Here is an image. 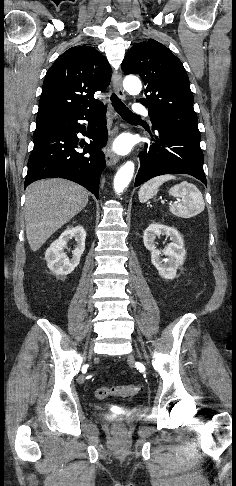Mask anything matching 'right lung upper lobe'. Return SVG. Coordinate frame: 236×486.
Masks as SVG:
<instances>
[{
	"mask_svg": "<svg viewBox=\"0 0 236 486\" xmlns=\"http://www.w3.org/2000/svg\"><path fill=\"white\" fill-rule=\"evenodd\" d=\"M110 78L108 61L95 48L68 49L46 74L36 121L102 105L94 98V93L106 89Z\"/></svg>",
	"mask_w": 236,
	"mask_h": 486,
	"instance_id": "1",
	"label": "right lung upper lobe"
}]
</instances>
